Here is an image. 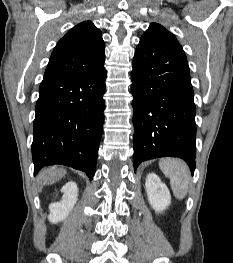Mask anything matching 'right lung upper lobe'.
Returning a JSON list of instances; mask_svg holds the SVG:
<instances>
[{
	"mask_svg": "<svg viewBox=\"0 0 233 263\" xmlns=\"http://www.w3.org/2000/svg\"><path fill=\"white\" fill-rule=\"evenodd\" d=\"M104 59L105 45L101 31L90 21L82 22L57 43L44 79L84 76L94 72Z\"/></svg>",
	"mask_w": 233,
	"mask_h": 263,
	"instance_id": "obj_1",
	"label": "right lung upper lobe"
}]
</instances>
